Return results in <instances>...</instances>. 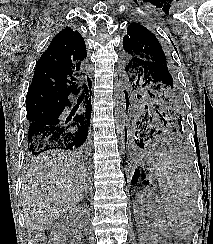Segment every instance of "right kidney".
<instances>
[{
  "label": "right kidney",
  "mask_w": 213,
  "mask_h": 244,
  "mask_svg": "<svg viewBox=\"0 0 213 244\" xmlns=\"http://www.w3.org/2000/svg\"><path fill=\"white\" fill-rule=\"evenodd\" d=\"M68 216L73 217L76 223L81 227L84 228L87 223V210L84 207L79 206L75 208L73 211H70Z\"/></svg>",
  "instance_id": "right-kidney-1"
}]
</instances>
